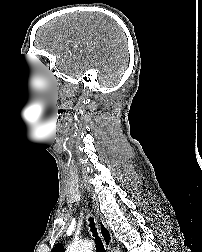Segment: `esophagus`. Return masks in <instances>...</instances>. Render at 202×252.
Segmentation results:
<instances>
[{"label":"esophagus","instance_id":"obj_1","mask_svg":"<svg viewBox=\"0 0 202 252\" xmlns=\"http://www.w3.org/2000/svg\"><path fill=\"white\" fill-rule=\"evenodd\" d=\"M95 212V219L97 223V228L99 231V234L103 240V243L106 247V249L110 252L112 250L113 241L112 236L109 228L107 227L103 216L99 212L98 208L96 206L93 207Z\"/></svg>","mask_w":202,"mask_h":252}]
</instances>
